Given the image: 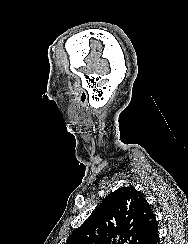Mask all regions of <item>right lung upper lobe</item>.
<instances>
[{
    "instance_id": "right-lung-upper-lobe-1",
    "label": "right lung upper lobe",
    "mask_w": 188,
    "mask_h": 244,
    "mask_svg": "<svg viewBox=\"0 0 188 244\" xmlns=\"http://www.w3.org/2000/svg\"><path fill=\"white\" fill-rule=\"evenodd\" d=\"M157 221L141 192L121 187L108 195L66 244H144Z\"/></svg>"
}]
</instances>
